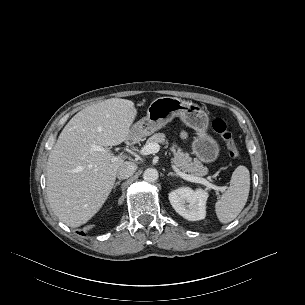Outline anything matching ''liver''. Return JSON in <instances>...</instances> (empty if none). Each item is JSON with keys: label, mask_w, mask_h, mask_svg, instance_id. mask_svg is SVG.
<instances>
[{"label": "liver", "mask_w": 305, "mask_h": 305, "mask_svg": "<svg viewBox=\"0 0 305 305\" xmlns=\"http://www.w3.org/2000/svg\"><path fill=\"white\" fill-rule=\"evenodd\" d=\"M134 103L111 98L88 106L67 123L47 161V197L69 227L87 223L108 198L124 160L91 145L115 146L130 136ZM115 159V160H114Z\"/></svg>", "instance_id": "6515ba94"}]
</instances>
